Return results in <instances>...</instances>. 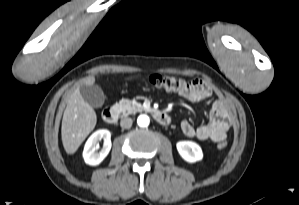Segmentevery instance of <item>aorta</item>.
Listing matches in <instances>:
<instances>
[{
  "label": "aorta",
  "mask_w": 299,
  "mask_h": 205,
  "mask_svg": "<svg viewBox=\"0 0 299 205\" xmlns=\"http://www.w3.org/2000/svg\"><path fill=\"white\" fill-rule=\"evenodd\" d=\"M137 123L140 127H147L150 123V119L147 115L142 114L137 118Z\"/></svg>",
  "instance_id": "1"
}]
</instances>
